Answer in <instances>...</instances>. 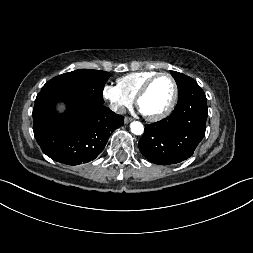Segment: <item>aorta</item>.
I'll list each match as a JSON object with an SVG mask.
<instances>
[{"label":"aorta","mask_w":253,"mask_h":253,"mask_svg":"<svg viewBox=\"0 0 253 253\" xmlns=\"http://www.w3.org/2000/svg\"><path fill=\"white\" fill-rule=\"evenodd\" d=\"M131 132L135 135H141L144 132V127L141 122L134 121L130 124Z\"/></svg>","instance_id":"1"}]
</instances>
